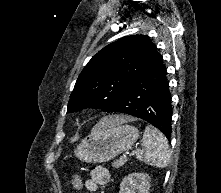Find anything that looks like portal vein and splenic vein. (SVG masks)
I'll return each instance as SVG.
<instances>
[{"label": "portal vein and splenic vein", "instance_id": "portal-vein-and-splenic-vein-1", "mask_svg": "<svg viewBox=\"0 0 221 193\" xmlns=\"http://www.w3.org/2000/svg\"><path fill=\"white\" fill-rule=\"evenodd\" d=\"M134 153H136V151L134 152ZM127 156L126 155H124V158H126Z\"/></svg>", "mask_w": 221, "mask_h": 193}]
</instances>
